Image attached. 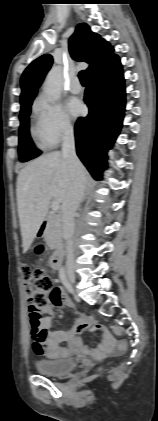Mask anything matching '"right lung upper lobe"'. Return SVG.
Wrapping results in <instances>:
<instances>
[{
	"mask_svg": "<svg viewBox=\"0 0 158 421\" xmlns=\"http://www.w3.org/2000/svg\"><path fill=\"white\" fill-rule=\"evenodd\" d=\"M69 51L73 59L89 64L87 69L89 75L103 68L115 56L113 47L98 34L92 32L86 23L76 27L69 40ZM51 65V55L45 54L26 68L21 77V105L33 101Z\"/></svg>",
	"mask_w": 158,
	"mask_h": 421,
	"instance_id": "1",
	"label": "right lung upper lobe"
}]
</instances>
